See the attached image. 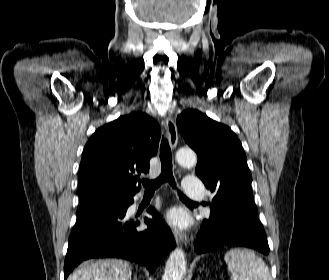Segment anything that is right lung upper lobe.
<instances>
[{
	"label": "right lung upper lobe",
	"mask_w": 329,
	"mask_h": 280,
	"mask_svg": "<svg viewBox=\"0 0 329 280\" xmlns=\"http://www.w3.org/2000/svg\"><path fill=\"white\" fill-rule=\"evenodd\" d=\"M160 140L158 123L137 111L98 128L84 147L79 171L80 200L124 197L139 191L135 173L149 172Z\"/></svg>",
	"instance_id": "1"
}]
</instances>
